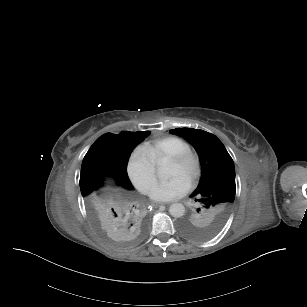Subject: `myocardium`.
<instances>
[{
	"instance_id": "obj_1",
	"label": "myocardium",
	"mask_w": 307,
	"mask_h": 307,
	"mask_svg": "<svg viewBox=\"0 0 307 307\" xmlns=\"http://www.w3.org/2000/svg\"><path fill=\"white\" fill-rule=\"evenodd\" d=\"M195 156L197 160L196 169L191 173V175L187 178L189 183L196 182L205 171V156L203 151L194 146L190 145L189 147L183 149L182 151L168 156V159L178 165L184 164L190 157Z\"/></svg>"
}]
</instances>
